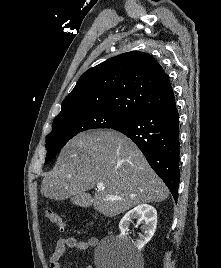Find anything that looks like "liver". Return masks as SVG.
<instances>
[{"label": "liver", "mask_w": 221, "mask_h": 268, "mask_svg": "<svg viewBox=\"0 0 221 268\" xmlns=\"http://www.w3.org/2000/svg\"><path fill=\"white\" fill-rule=\"evenodd\" d=\"M103 189H96L97 185ZM95 188L94 209L113 217L139 204L160 202L169 195L139 148L114 130L80 133L61 150L53 170L41 185V194L57 201L85 200L86 191ZM118 200H108L107 197Z\"/></svg>", "instance_id": "6515ba94"}]
</instances>
